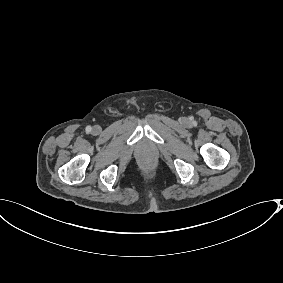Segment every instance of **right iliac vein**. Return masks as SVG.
Listing matches in <instances>:
<instances>
[{"label": "right iliac vein", "instance_id": "1", "mask_svg": "<svg viewBox=\"0 0 283 283\" xmlns=\"http://www.w3.org/2000/svg\"><path fill=\"white\" fill-rule=\"evenodd\" d=\"M100 131V127L99 126H94L93 127V132L94 133H98Z\"/></svg>", "mask_w": 283, "mask_h": 283}]
</instances>
